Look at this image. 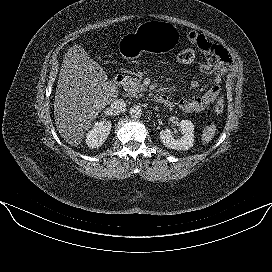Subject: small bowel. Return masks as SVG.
I'll use <instances>...</instances> for the list:
<instances>
[{"instance_id":"c3829d8e","label":"small bowel","mask_w":272,"mask_h":272,"mask_svg":"<svg viewBox=\"0 0 272 272\" xmlns=\"http://www.w3.org/2000/svg\"><path fill=\"white\" fill-rule=\"evenodd\" d=\"M187 38L204 55V60L199 65L200 71L213 76V84L202 95L182 98L178 101L170 98V106H176L182 111L190 113L204 110L217 99L220 93V84L232 59L224 47L212 43L203 34L189 32Z\"/></svg>"}]
</instances>
